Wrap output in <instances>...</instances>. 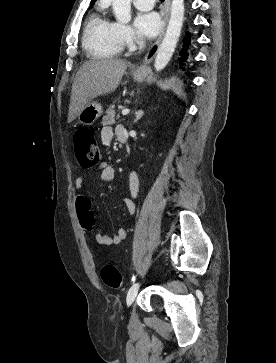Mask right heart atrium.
Instances as JSON below:
<instances>
[{"label":"right heart atrium","mask_w":276,"mask_h":363,"mask_svg":"<svg viewBox=\"0 0 276 363\" xmlns=\"http://www.w3.org/2000/svg\"><path fill=\"white\" fill-rule=\"evenodd\" d=\"M119 35L125 44H130L134 40V35L128 25L117 23Z\"/></svg>","instance_id":"d8ad5b80"}]
</instances>
